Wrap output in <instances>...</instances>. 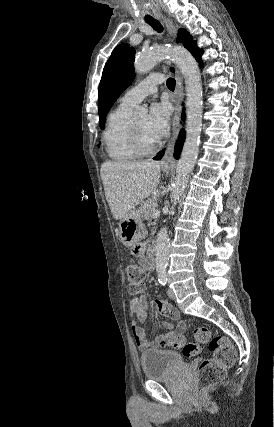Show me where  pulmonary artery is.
<instances>
[{
    "label": "pulmonary artery",
    "mask_w": 274,
    "mask_h": 427,
    "mask_svg": "<svg viewBox=\"0 0 274 427\" xmlns=\"http://www.w3.org/2000/svg\"><path fill=\"white\" fill-rule=\"evenodd\" d=\"M163 77L158 73H153L136 83L122 97L121 105L135 107L149 95L158 91V85L163 82Z\"/></svg>",
    "instance_id": "e3ab8cb5"
}]
</instances>
